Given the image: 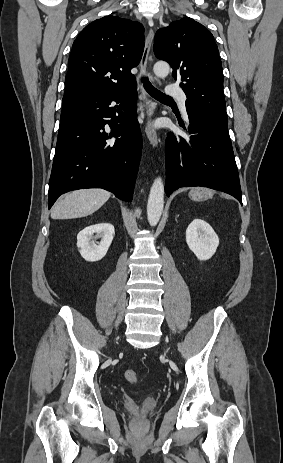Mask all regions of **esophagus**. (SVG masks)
Here are the masks:
<instances>
[{
    "label": "esophagus",
    "mask_w": 283,
    "mask_h": 463,
    "mask_svg": "<svg viewBox=\"0 0 283 463\" xmlns=\"http://www.w3.org/2000/svg\"><path fill=\"white\" fill-rule=\"evenodd\" d=\"M152 25H153V22L150 21L149 26L152 27ZM153 38H154V32L152 28H150L148 31L146 40H145L143 56L140 62V69H141L142 75L147 74V66L149 64V59H150L149 54H150ZM142 95L144 97L146 116H147L145 132H146L147 138L150 141L151 145L153 147H156L158 144V137H157V133L153 126L155 104L152 102L151 99L148 98L147 93L145 92L143 88H142Z\"/></svg>",
    "instance_id": "34e87169"
}]
</instances>
